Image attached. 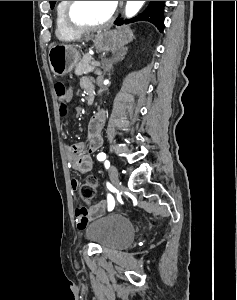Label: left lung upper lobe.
I'll return each mask as SVG.
<instances>
[{
    "label": "left lung upper lobe",
    "instance_id": "obj_1",
    "mask_svg": "<svg viewBox=\"0 0 237 300\" xmlns=\"http://www.w3.org/2000/svg\"><path fill=\"white\" fill-rule=\"evenodd\" d=\"M56 1H50L51 8L54 7ZM164 4L163 1H150L146 10L140 14L138 17H135L131 20L134 22L136 20H144L153 23L161 32L164 28ZM126 23L128 20L125 21ZM117 25H121L123 20L118 18L115 22Z\"/></svg>",
    "mask_w": 237,
    "mask_h": 300
}]
</instances>
